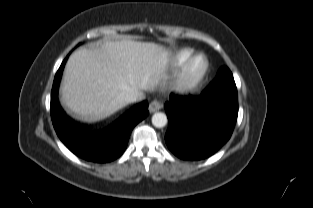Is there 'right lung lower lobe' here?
<instances>
[{"instance_id": "right-lung-lower-lobe-1", "label": "right lung lower lobe", "mask_w": 313, "mask_h": 208, "mask_svg": "<svg viewBox=\"0 0 313 208\" xmlns=\"http://www.w3.org/2000/svg\"><path fill=\"white\" fill-rule=\"evenodd\" d=\"M66 60L67 57L55 75L51 92L50 112L55 131L67 148L78 157L92 162H110L125 151L132 129L149 114L148 104L144 101L133 106L108 127L84 132L71 123L57 97Z\"/></svg>"}]
</instances>
